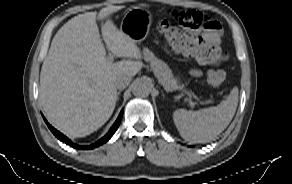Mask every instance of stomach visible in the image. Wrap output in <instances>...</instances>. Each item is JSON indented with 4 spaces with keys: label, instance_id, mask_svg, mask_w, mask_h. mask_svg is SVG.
Masks as SVG:
<instances>
[{
    "label": "stomach",
    "instance_id": "obj_1",
    "mask_svg": "<svg viewBox=\"0 0 292 184\" xmlns=\"http://www.w3.org/2000/svg\"><path fill=\"white\" fill-rule=\"evenodd\" d=\"M151 24L152 14L146 9L134 7L124 15L120 30L139 43L147 37Z\"/></svg>",
    "mask_w": 292,
    "mask_h": 184
}]
</instances>
